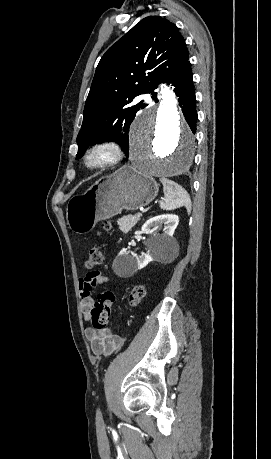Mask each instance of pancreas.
<instances>
[{"label": "pancreas", "mask_w": 271, "mask_h": 459, "mask_svg": "<svg viewBox=\"0 0 271 459\" xmlns=\"http://www.w3.org/2000/svg\"><path fill=\"white\" fill-rule=\"evenodd\" d=\"M140 217L137 216H123V218H120L118 220V226L121 229V231H124V233H128L133 226H136L137 222H139Z\"/></svg>", "instance_id": "1"}]
</instances>
